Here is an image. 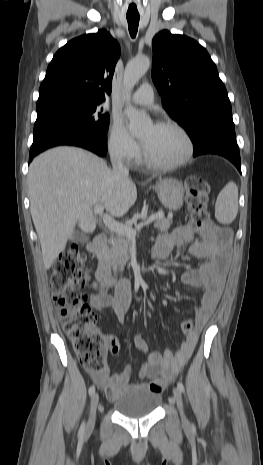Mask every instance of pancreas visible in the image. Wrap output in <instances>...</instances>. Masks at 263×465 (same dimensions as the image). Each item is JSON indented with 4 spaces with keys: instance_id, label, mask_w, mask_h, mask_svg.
Masks as SVG:
<instances>
[{
    "instance_id": "1",
    "label": "pancreas",
    "mask_w": 263,
    "mask_h": 465,
    "mask_svg": "<svg viewBox=\"0 0 263 465\" xmlns=\"http://www.w3.org/2000/svg\"><path fill=\"white\" fill-rule=\"evenodd\" d=\"M172 225V218H159L154 227L166 232ZM131 238L122 234H115L108 240V247L103 253L105 260L111 265L115 273L122 272L130 259Z\"/></svg>"
}]
</instances>
